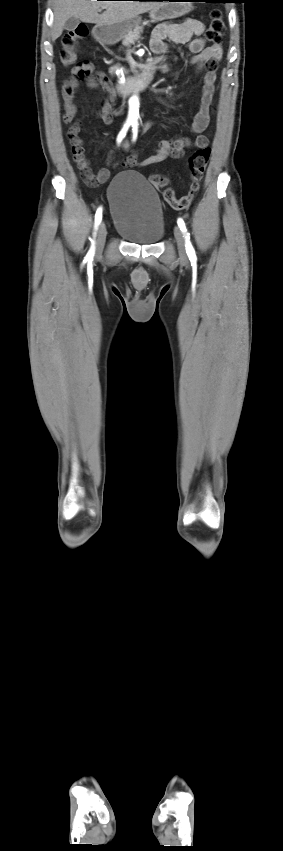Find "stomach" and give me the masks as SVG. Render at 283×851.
<instances>
[{"label": "stomach", "instance_id": "stomach-1", "mask_svg": "<svg viewBox=\"0 0 283 851\" xmlns=\"http://www.w3.org/2000/svg\"><path fill=\"white\" fill-rule=\"evenodd\" d=\"M183 0H169L163 2L159 7L150 11V18L153 21H162L166 19H174L184 16L191 11L192 5L190 2H177ZM141 23L140 17H134L115 24H97L93 28V35L98 41L107 44H113L120 41L127 34L136 29Z\"/></svg>", "mask_w": 283, "mask_h": 851}]
</instances>
